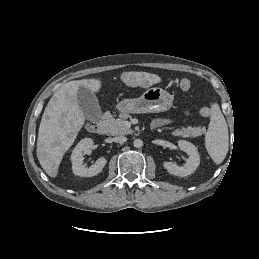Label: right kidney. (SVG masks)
<instances>
[{
    "label": "right kidney",
    "instance_id": "ca27d5eb",
    "mask_svg": "<svg viewBox=\"0 0 259 259\" xmlns=\"http://www.w3.org/2000/svg\"><path fill=\"white\" fill-rule=\"evenodd\" d=\"M93 140L91 138L82 139L74 148L71 155L72 171L75 175L81 177H92L99 174L107 163L104 157L99 158L96 163L90 167L83 165L84 155L91 154Z\"/></svg>",
    "mask_w": 259,
    "mask_h": 259
}]
</instances>
